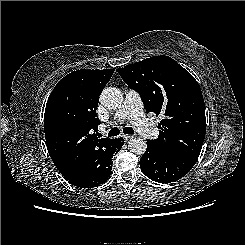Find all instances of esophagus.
I'll use <instances>...</instances> for the list:
<instances>
[{
	"instance_id": "34e87169",
	"label": "esophagus",
	"mask_w": 245,
	"mask_h": 245,
	"mask_svg": "<svg viewBox=\"0 0 245 245\" xmlns=\"http://www.w3.org/2000/svg\"><path fill=\"white\" fill-rule=\"evenodd\" d=\"M134 137H135L134 135H125V134L123 135V138L125 139V141H128Z\"/></svg>"
}]
</instances>
